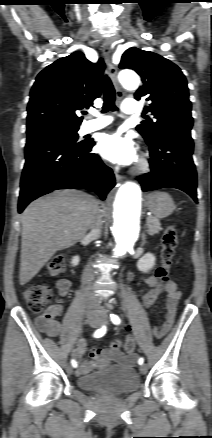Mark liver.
Listing matches in <instances>:
<instances>
[{"mask_svg":"<svg viewBox=\"0 0 212 438\" xmlns=\"http://www.w3.org/2000/svg\"><path fill=\"white\" fill-rule=\"evenodd\" d=\"M99 202L79 190H60L29 204L21 216L19 280L29 282L54 254L75 245L90 228Z\"/></svg>","mask_w":212,"mask_h":438,"instance_id":"1","label":"liver"}]
</instances>
